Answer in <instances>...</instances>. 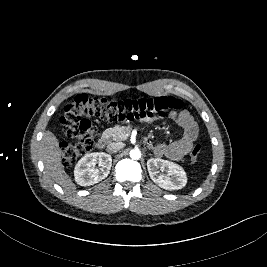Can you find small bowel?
Masks as SVG:
<instances>
[{"label": "small bowel", "mask_w": 267, "mask_h": 267, "mask_svg": "<svg viewBox=\"0 0 267 267\" xmlns=\"http://www.w3.org/2000/svg\"><path fill=\"white\" fill-rule=\"evenodd\" d=\"M171 118L180 127L179 139L171 143L154 144L150 138H146L145 143L154 151L155 155L179 160L193 147L198 136V125L187 111L173 114Z\"/></svg>", "instance_id": "obj_1"}]
</instances>
